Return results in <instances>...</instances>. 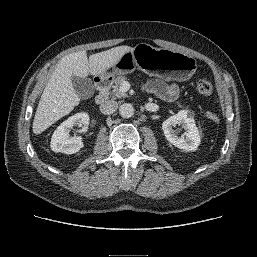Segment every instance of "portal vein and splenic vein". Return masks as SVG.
Instances as JSON below:
<instances>
[{"mask_svg":"<svg viewBox=\"0 0 257 257\" xmlns=\"http://www.w3.org/2000/svg\"><path fill=\"white\" fill-rule=\"evenodd\" d=\"M120 89L124 92L128 91L130 89V83L127 82V81H124L122 84H121V87Z\"/></svg>","mask_w":257,"mask_h":257,"instance_id":"portal-vein-and-splenic-vein-1","label":"portal vein and splenic vein"}]
</instances>
